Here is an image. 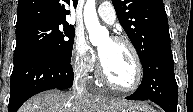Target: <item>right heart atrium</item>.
I'll use <instances>...</instances> for the list:
<instances>
[{
	"instance_id": "d8ad5b80",
	"label": "right heart atrium",
	"mask_w": 193,
	"mask_h": 112,
	"mask_svg": "<svg viewBox=\"0 0 193 112\" xmlns=\"http://www.w3.org/2000/svg\"><path fill=\"white\" fill-rule=\"evenodd\" d=\"M71 65L75 73L87 76L95 65L91 48L82 35H77L71 53Z\"/></svg>"
}]
</instances>
